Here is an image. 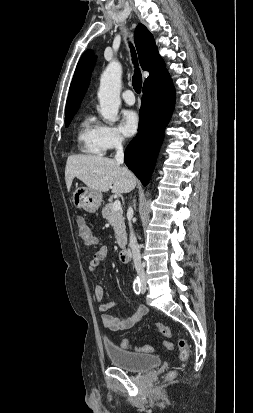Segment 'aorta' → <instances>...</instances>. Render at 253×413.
Listing matches in <instances>:
<instances>
[{"mask_svg": "<svg viewBox=\"0 0 253 413\" xmlns=\"http://www.w3.org/2000/svg\"><path fill=\"white\" fill-rule=\"evenodd\" d=\"M121 75L122 67L118 61L108 64L101 75L98 99L100 102V114L108 123L117 121L118 110L121 104Z\"/></svg>", "mask_w": 253, "mask_h": 413, "instance_id": "obj_1", "label": "aorta"}]
</instances>
